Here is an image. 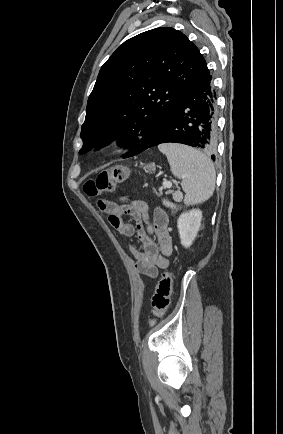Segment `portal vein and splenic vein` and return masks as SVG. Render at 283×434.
Returning <instances> with one entry per match:
<instances>
[{
    "instance_id": "18ae733b",
    "label": "portal vein and splenic vein",
    "mask_w": 283,
    "mask_h": 434,
    "mask_svg": "<svg viewBox=\"0 0 283 434\" xmlns=\"http://www.w3.org/2000/svg\"><path fill=\"white\" fill-rule=\"evenodd\" d=\"M163 186H164L165 188H171L172 184H171L170 182H168V181H164V182H163Z\"/></svg>"
}]
</instances>
